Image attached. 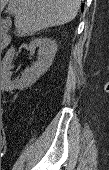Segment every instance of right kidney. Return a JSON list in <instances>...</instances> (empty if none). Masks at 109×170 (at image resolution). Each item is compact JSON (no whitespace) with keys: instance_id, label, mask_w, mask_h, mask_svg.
Here are the masks:
<instances>
[{"instance_id":"right-kidney-1","label":"right kidney","mask_w":109,"mask_h":170,"mask_svg":"<svg viewBox=\"0 0 109 170\" xmlns=\"http://www.w3.org/2000/svg\"><path fill=\"white\" fill-rule=\"evenodd\" d=\"M37 49V60L30 68L26 69L23 77L24 84H29L36 80L51 64L54 59L57 46L56 43L48 38H36L29 44L31 54Z\"/></svg>"}]
</instances>
